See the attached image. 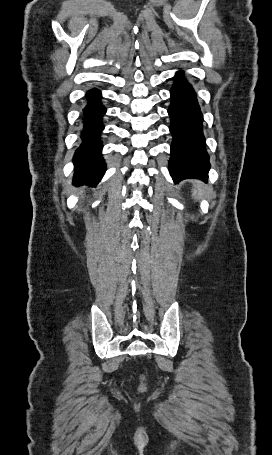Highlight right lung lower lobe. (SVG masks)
I'll return each instance as SVG.
<instances>
[{"label": "right lung lower lobe", "mask_w": 272, "mask_h": 455, "mask_svg": "<svg viewBox=\"0 0 272 455\" xmlns=\"http://www.w3.org/2000/svg\"><path fill=\"white\" fill-rule=\"evenodd\" d=\"M101 92L90 90L86 97L87 106L83 109L84 130L81 132L82 144L76 150L74 182L76 185H96L102 178L106 166L101 155L102 143L99 134L103 130L101 118L106 108L100 102Z\"/></svg>", "instance_id": "obj_1"}]
</instances>
